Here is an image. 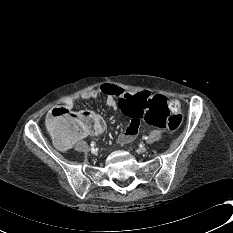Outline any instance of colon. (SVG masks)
Segmentation results:
<instances>
[{
	"label": "colon",
	"instance_id": "1",
	"mask_svg": "<svg viewBox=\"0 0 233 233\" xmlns=\"http://www.w3.org/2000/svg\"><path fill=\"white\" fill-rule=\"evenodd\" d=\"M118 105L123 116L133 119L143 116L146 123L169 132L177 131L183 120L179 102L172 101L168 104L166 98L152 96L146 90L122 94ZM47 125L55 137H84L100 127L94 114L85 111L74 114L65 105H57L52 109Z\"/></svg>",
	"mask_w": 233,
	"mask_h": 233
}]
</instances>
